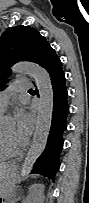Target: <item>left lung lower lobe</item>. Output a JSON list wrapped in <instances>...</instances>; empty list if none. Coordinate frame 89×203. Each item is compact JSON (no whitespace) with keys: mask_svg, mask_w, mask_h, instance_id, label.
<instances>
[{"mask_svg":"<svg viewBox=\"0 0 89 203\" xmlns=\"http://www.w3.org/2000/svg\"><path fill=\"white\" fill-rule=\"evenodd\" d=\"M40 66L45 68L50 75L54 93V104L47 145L44 152L36 160L32 173L41 174L55 180V174L60 167L63 133L67 128V116L69 113L68 92L65 86L62 63L50 45L43 52ZM36 93L38 94L37 90Z\"/></svg>","mask_w":89,"mask_h":203,"instance_id":"0a47b994","label":"left lung lower lobe"}]
</instances>
